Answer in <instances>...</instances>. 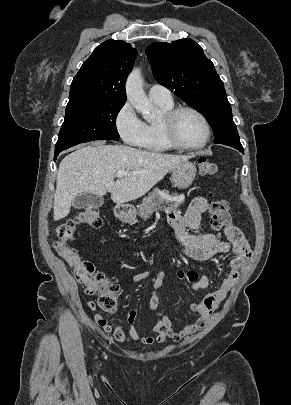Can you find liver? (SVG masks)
Listing matches in <instances>:
<instances>
[{
	"instance_id": "6515ba94",
	"label": "liver",
	"mask_w": 291,
	"mask_h": 405,
	"mask_svg": "<svg viewBox=\"0 0 291 405\" xmlns=\"http://www.w3.org/2000/svg\"><path fill=\"white\" fill-rule=\"evenodd\" d=\"M188 156L148 152L124 145L85 146L67 155L57 172L54 220L65 218L73 200L83 193L103 196L111 193L116 204L146 194ZM128 174L114 181L116 173Z\"/></svg>"
}]
</instances>
